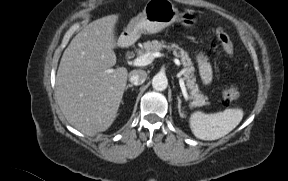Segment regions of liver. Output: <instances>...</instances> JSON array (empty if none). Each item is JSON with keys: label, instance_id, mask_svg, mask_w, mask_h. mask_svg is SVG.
<instances>
[{"label": "liver", "instance_id": "1", "mask_svg": "<svg viewBox=\"0 0 288 181\" xmlns=\"http://www.w3.org/2000/svg\"><path fill=\"white\" fill-rule=\"evenodd\" d=\"M118 14L89 23L65 49L56 76V97L67 121L82 133L94 136L107 130L116 114L125 90L128 71L116 64L114 27Z\"/></svg>", "mask_w": 288, "mask_h": 181}]
</instances>
